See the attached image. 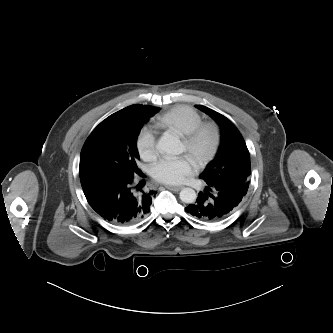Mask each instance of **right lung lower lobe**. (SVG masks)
<instances>
[{
  "label": "right lung lower lobe",
  "instance_id": "right-lung-lower-lobe-1",
  "mask_svg": "<svg viewBox=\"0 0 333 333\" xmlns=\"http://www.w3.org/2000/svg\"><path fill=\"white\" fill-rule=\"evenodd\" d=\"M80 179L90 206L105 220L117 225L139 222L150 212L156 194L155 191L142 190L144 181L133 186L134 177L90 174Z\"/></svg>",
  "mask_w": 333,
  "mask_h": 333
}]
</instances>
